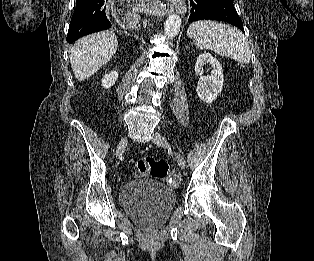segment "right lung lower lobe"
Listing matches in <instances>:
<instances>
[{"label":"right lung lower lobe","instance_id":"right-lung-lower-lobe-1","mask_svg":"<svg viewBox=\"0 0 314 261\" xmlns=\"http://www.w3.org/2000/svg\"><path fill=\"white\" fill-rule=\"evenodd\" d=\"M106 3L107 0H76V8L67 35L68 43L111 27L105 13Z\"/></svg>","mask_w":314,"mask_h":261}]
</instances>
